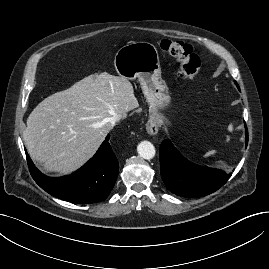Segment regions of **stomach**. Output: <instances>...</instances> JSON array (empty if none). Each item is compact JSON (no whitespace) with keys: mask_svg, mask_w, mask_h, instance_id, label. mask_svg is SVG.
I'll return each instance as SVG.
<instances>
[{"mask_svg":"<svg viewBox=\"0 0 269 269\" xmlns=\"http://www.w3.org/2000/svg\"><path fill=\"white\" fill-rule=\"evenodd\" d=\"M114 66L122 77L139 80L153 118L161 123L170 124L167 118L156 113L157 107L166 106L171 101L168 87L161 77L156 47L149 42L129 43L117 51Z\"/></svg>","mask_w":269,"mask_h":269,"instance_id":"0dacf381","label":"stomach"}]
</instances>
